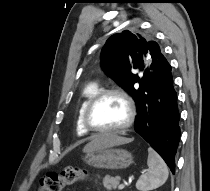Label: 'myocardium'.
Masks as SVG:
<instances>
[{
    "mask_svg": "<svg viewBox=\"0 0 210 191\" xmlns=\"http://www.w3.org/2000/svg\"><path fill=\"white\" fill-rule=\"evenodd\" d=\"M107 95H117L120 98H122L127 105V109H128L127 120L125 121V123L123 125H121L117 128H111V129L98 128V127L94 126L93 123L91 122V113H92L94 106L103 97H105ZM135 115H136V108H135V104H134L133 100L131 99V97L121 89L110 88V89H104V90L97 92L90 99V101L86 105L85 110L83 112L82 120H83V124H84L85 128L90 132L100 133V134H117V133L125 131L133 124V122L135 120Z\"/></svg>",
    "mask_w": 210,
    "mask_h": 191,
    "instance_id": "f54148a6",
    "label": "myocardium"
}]
</instances>
